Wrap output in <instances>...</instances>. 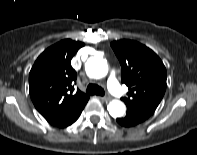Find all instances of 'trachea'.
<instances>
[{"mask_svg": "<svg viewBox=\"0 0 197 155\" xmlns=\"http://www.w3.org/2000/svg\"><path fill=\"white\" fill-rule=\"evenodd\" d=\"M87 94L89 95H100L104 96L105 92L102 87L96 84H89L86 89Z\"/></svg>", "mask_w": 197, "mask_h": 155, "instance_id": "trachea-1", "label": "trachea"}]
</instances>
